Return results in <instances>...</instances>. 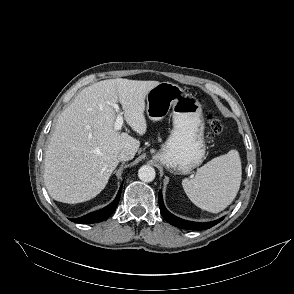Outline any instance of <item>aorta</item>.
<instances>
[{
	"label": "aorta",
	"instance_id": "1",
	"mask_svg": "<svg viewBox=\"0 0 294 294\" xmlns=\"http://www.w3.org/2000/svg\"><path fill=\"white\" fill-rule=\"evenodd\" d=\"M156 175L155 169L149 165H143L138 170V177L143 182H151L154 180Z\"/></svg>",
	"mask_w": 294,
	"mask_h": 294
}]
</instances>
